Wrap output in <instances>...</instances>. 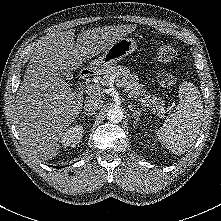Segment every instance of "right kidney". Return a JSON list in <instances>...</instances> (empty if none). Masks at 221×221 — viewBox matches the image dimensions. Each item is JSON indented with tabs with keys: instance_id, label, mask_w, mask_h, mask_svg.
I'll use <instances>...</instances> for the list:
<instances>
[{
	"instance_id": "obj_1",
	"label": "right kidney",
	"mask_w": 221,
	"mask_h": 221,
	"mask_svg": "<svg viewBox=\"0 0 221 221\" xmlns=\"http://www.w3.org/2000/svg\"><path fill=\"white\" fill-rule=\"evenodd\" d=\"M83 127L80 124L71 126L63 132L61 144L64 147H75L82 139Z\"/></svg>"
}]
</instances>
